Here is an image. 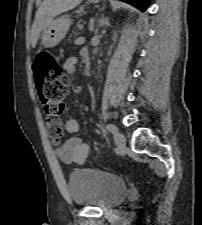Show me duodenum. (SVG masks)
Listing matches in <instances>:
<instances>
[{"instance_id": "duodenum-1", "label": "duodenum", "mask_w": 202, "mask_h": 225, "mask_svg": "<svg viewBox=\"0 0 202 225\" xmlns=\"http://www.w3.org/2000/svg\"><path fill=\"white\" fill-rule=\"evenodd\" d=\"M81 55H82V59H83V63H84L85 72H88L91 68L90 55L88 52H83Z\"/></svg>"}]
</instances>
